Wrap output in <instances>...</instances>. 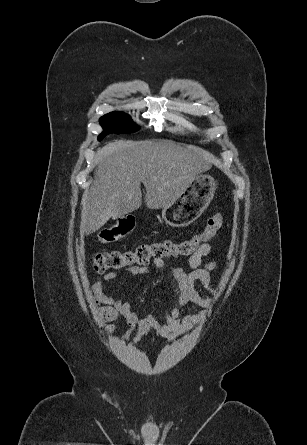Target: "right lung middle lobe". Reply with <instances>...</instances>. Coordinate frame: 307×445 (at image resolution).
<instances>
[{"label":"right lung middle lobe","instance_id":"dd1d6c3e","mask_svg":"<svg viewBox=\"0 0 307 445\" xmlns=\"http://www.w3.org/2000/svg\"><path fill=\"white\" fill-rule=\"evenodd\" d=\"M104 131L99 135L98 140H102L110 133H132L137 130L136 125L130 117L123 112H111L99 119Z\"/></svg>","mask_w":307,"mask_h":445}]
</instances>
